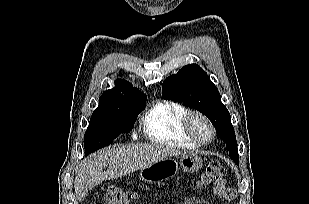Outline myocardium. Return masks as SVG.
<instances>
[{"instance_id":"obj_1","label":"myocardium","mask_w":309,"mask_h":204,"mask_svg":"<svg viewBox=\"0 0 309 204\" xmlns=\"http://www.w3.org/2000/svg\"><path fill=\"white\" fill-rule=\"evenodd\" d=\"M201 119L203 120L207 126L209 127L210 130V137L207 140H202L200 139L194 132V128H193V122L195 119ZM183 128L185 133L187 134V136L197 145L200 146H205L210 144L216 136V130L215 127L213 125V123L211 122V120L202 112L200 111H189L185 118H184V122H183Z\"/></svg>"}]
</instances>
